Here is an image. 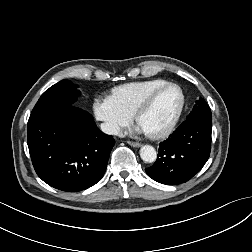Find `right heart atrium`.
Segmentation results:
<instances>
[{"label": "right heart atrium", "instance_id": "d8ad5b80", "mask_svg": "<svg viewBox=\"0 0 252 252\" xmlns=\"http://www.w3.org/2000/svg\"><path fill=\"white\" fill-rule=\"evenodd\" d=\"M92 109L102 130L110 135H118L133 119V115L120 107L111 96L95 97Z\"/></svg>", "mask_w": 252, "mask_h": 252}]
</instances>
